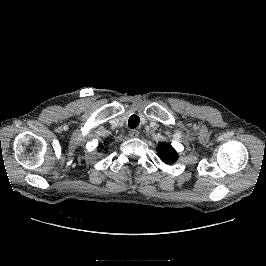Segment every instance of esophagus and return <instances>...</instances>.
Segmentation results:
<instances>
[{
	"label": "esophagus",
	"instance_id": "34e87169",
	"mask_svg": "<svg viewBox=\"0 0 266 266\" xmlns=\"http://www.w3.org/2000/svg\"><path fill=\"white\" fill-rule=\"evenodd\" d=\"M129 136L131 138H137L139 136V131L135 130V129H132L129 131Z\"/></svg>",
	"mask_w": 266,
	"mask_h": 266
}]
</instances>
